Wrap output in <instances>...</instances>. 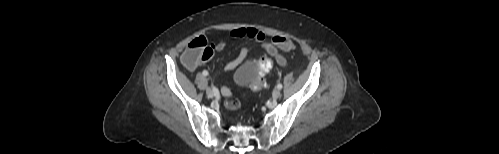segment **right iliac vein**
Returning a JSON list of instances; mask_svg holds the SVG:
<instances>
[{
	"label": "right iliac vein",
	"mask_w": 499,
	"mask_h": 154,
	"mask_svg": "<svg viewBox=\"0 0 499 154\" xmlns=\"http://www.w3.org/2000/svg\"><path fill=\"white\" fill-rule=\"evenodd\" d=\"M206 94H207L208 97H213L214 96V92H213L212 88L208 87L206 89Z\"/></svg>",
	"instance_id": "63e3f726"
}]
</instances>
